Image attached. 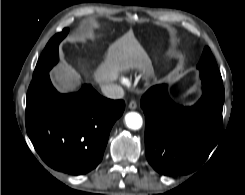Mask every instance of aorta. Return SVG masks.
Returning <instances> with one entry per match:
<instances>
[{"mask_svg": "<svg viewBox=\"0 0 245 195\" xmlns=\"http://www.w3.org/2000/svg\"><path fill=\"white\" fill-rule=\"evenodd\" d=\"M125 122L128 128L138 130L142 126V117L139 113L129 112L125 116Z\"/></svg>", "mask_w": 245, "mask_h": 195, "instance_id": "aorta-1", "label": "aorta"}]
</instances>
